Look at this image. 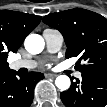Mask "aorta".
<instances>
[{
	"label": "aorta",
	"mask_w": 107,
	"mask_h": 107,
	"mask_svg": "<svg viewBox=\"0 0 107 107\" xmlns=\"http://www.w3.org/2000/svg\"><path fill=\"white\" fill-rule=\"evenodd\" d=\"M24 45L30 54H39L43 51L45 42L42 36L30 34L26 37ZM55 85L62 91L68 90L71 85L70 78L67 75H59L55 80Z\"/></svg>",
	"instance_id": "1"
}]
</instances>
